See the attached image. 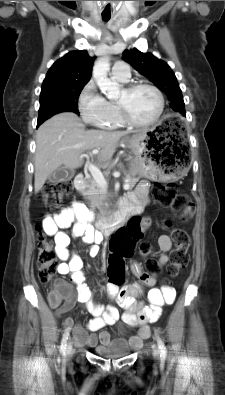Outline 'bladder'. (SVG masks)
Returning <instances> with one entry per match:
<instances>
[{
  "mask_svg": "<svg viewBox=\"0 0 225 395\" xmlns=\"http://www.w3.org/2000/svg\"><path fill=\"white\" fill-rule=\"evenodd\" d=\"M132 348L129 343L122 338L111 340L106 346L98 348L97 352L105 357L119 358L128 355Z\"/></svg>",
  "mask_w": 225,
  "mask_h": 395,
  "instance_id": "bladder-1",
  "label": "bladder"
}]
</instances>
